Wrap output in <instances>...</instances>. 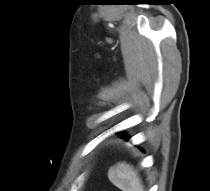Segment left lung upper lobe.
Returning a JSON list of instances; mask_svg holds the SVG:
<instances>
[{
	"label": "left lung upper lobe",
	"mask_w": 210,
	"mask_h": 191,
	"mask_svg": "<svg viewBox=\"0 0 210 191\" xmlns=\"http://www.w3.org/2000/svg\"><path fill=\"white\" fill-rule=\"evenodd\" d=\"M118 135H119V137H120V136H123L121 133H118Z\"/></svg>",
	"instance_id": "obj_1"
}]
</instances>
